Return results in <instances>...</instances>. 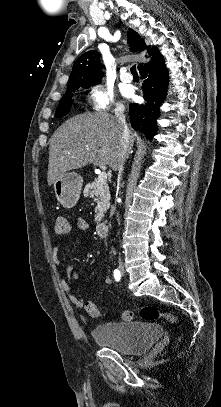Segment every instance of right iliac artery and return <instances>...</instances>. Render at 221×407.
I'll return each instance as SVG.
<instances>
[{"label":"right iliac artery","instance_id":"obj_1","mask_svg":"<svg viewBox=\"0 0 221 407\" xmlns=\"http://www.w3.org/2000/svg\"><path fill=\"white\" fill-rule=\"evenodd\" d=\"M114 278L116 281H119L121 279V272L118 269L114 270Z\"/></svg>","mask_w":221,"mask_h":407}]
</instances>
